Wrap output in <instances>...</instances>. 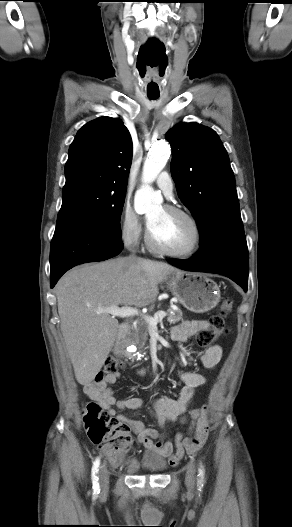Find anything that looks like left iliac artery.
<instances>
[{
    "mask_svg": "<svg viewBox=\"0 0 292 527\" xmlns=\"http://www.w3.org/2000/svg\"><path fill=\"white\" fill-rule=\"evenodd\" d=\"M199 472H200V480H199V483L201 484V482H202V480H203V475H204L203 469L200 468V469H199Z\"/></svg>",
    "mask_w": 292,
    "mask_h": 527,
    "instance_id": "obj_1",
    "label": "left iliac artery"
}]
</instances>
